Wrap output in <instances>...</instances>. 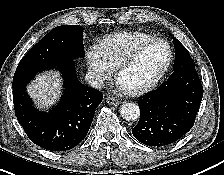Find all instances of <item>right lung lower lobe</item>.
Listing matches in <instances>:
<instances>
[{"instance_id": "obj_1", "label": "right lung lower lobe", "mask_w": 224, "mask_h": 175, "mask_svg": "<svg viewBox=\"0 0 224 175\" xmlns=\"http://www.w3.org/2000/svg\"><path fill=\"white\" fill-rule=\"evenodd\" d=\"M49 68L62 73L65 89L59 104L47 113L33 107L26 85L38 72ZM102 99L100 91L79 82L74 63L19 67L13 78V102L19 123L33 143L50 151H66L77 146L88 133Z\"/></svg>"}]
</instances>
